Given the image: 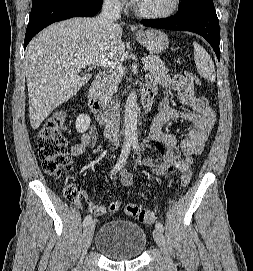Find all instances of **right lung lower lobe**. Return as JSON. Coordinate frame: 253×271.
I'll return each mask as SVG.
<instances>
[{
    "label": "right lung lower lobe",
    "instance_id": "obj_1",
    "mask_svg": "<svg viewBox=\"0 0 253 271\" xmlns=\"http://www.w3.org/2000/svg\"><path fill=\"white\" fill-rule=\"evenodd\" d=\"M101 6L102 0H56L33 8L26 30L24 49L46 26L72 17H92Z\"/></svg>",
    "mask_w": 253,
    "mask_h": 271
}]
</instances>
